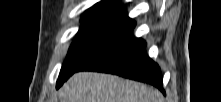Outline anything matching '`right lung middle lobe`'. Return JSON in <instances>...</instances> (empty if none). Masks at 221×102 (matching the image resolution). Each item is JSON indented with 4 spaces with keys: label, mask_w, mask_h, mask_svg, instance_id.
Returning a JSON list of instances; mask_svg holds the SVG:
<instances>
[{
    "label": "right lung middle lobe",
    "mask_w": 221,
    "mask_h": 102,
    "mask_svg": "<svg viewBox=\"0 0 221 102\" xmlns=\"http://www.w3.org/2000/svg\"><path fill=\"white\" fill-rule=\"evenodd\" d=\"M81 21L83 23L62 65L58 81L72 75L87 60L135 24L126 16L124 8L105 4H96L87 10Z\"/></svg>",
    "instance_id": "dd1d6c3e"
}]
</instances>
